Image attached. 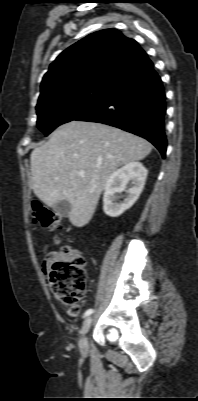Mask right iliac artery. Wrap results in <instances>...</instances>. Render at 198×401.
<instances>
[{
    "instance_id": "1",
    "label": "right iliac artery",
    "mask_w": 198,
    "mask_h": 401,
    "mask_svg": "<svg viewBox=\"0 0 198 401\" xmlns=\"http://www.w3.org/2000/svg\"><path fill=\"white\" fill-rule=\"evenodd\" d=\"M93 313V309H88V310H86V312L84 313V317H87V316H89L90 314H92Z\"/></svg>"
}]
</instances>
